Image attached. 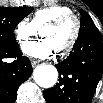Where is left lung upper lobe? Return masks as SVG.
Listing matches in <instances>:
<instances>
[{
	"label": "left lung upper lobe",
	"mask_w": 103,
	"mask_h": 103,
	"mask_svg": "<svg viewBox=\"0 0 103 103\" xmlns=\"http://www.w3.org/2000/svg\"><path fill=\"white\" fill-rule=\"evenodd\" d=\"M79 12L82 16L81 20H80L81 27L79 30V36H81L83 33L87 32L89 30L97 29L93 20L91 19V17L89 16V14L87 12H85L83 10H80Z\"/></svg>",
	"instance_id": "5c2ea615"
}]
</instances>
